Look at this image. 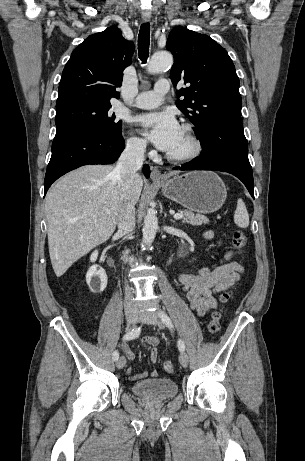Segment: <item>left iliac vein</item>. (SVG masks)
<instances>
[{"label": "left iliac vein", "mask_w": 305, "mask_h": 461, "mask_svg": "<svg viewBox=\"0 0 305 461\" xmlns=\"http://www.w3.org/2000/svg\"><path fill=\"white\" fill-rule=\"evenodd\" d=\"M138 320L145 324L156 325L159 328L162 327L158 313L155 311H145L138 313ZM181 365L186 368L188 366V355L185 352H181L179 356Z\"/></svg>", "instance_id": "1"}]
</instances>
